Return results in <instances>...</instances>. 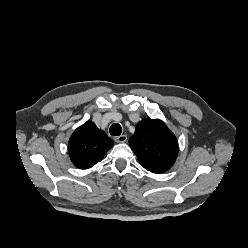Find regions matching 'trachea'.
Returning <instances> with one entry per match:
<instances>
[{"label": "trachea", "mask_w": 248, "mask_h": 248, "mask_svg": "<svg viewBox=\"0 0 248 248\" xmlns=\"http://www.w3.org/2000/svg\"><path fill=\"white\" fill-rule=\"evenodd\" d=\"M109 132L112 136H119L122 133V128L120 124L114 123L111 125Z\"/></svg>", "instance_id": "trachea-1"}]
</instances>
